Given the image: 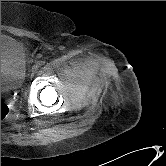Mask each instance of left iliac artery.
Here are the masks:
<instances>
[{"mask_svg": "<svg viewBox=\"0 0 166 166\" xmlns=\"http://www.w3.org/2000/svg\"><path fill=\"white\" fill-rule=\"evenodd\" d=\"M37 65H38V67L42 66L43 65V61H38Z\"/></svg>", "mask_w": 166, "mask_h": 166, "instance_id": "1", "label": "left iliac artery"}]
</instances>
